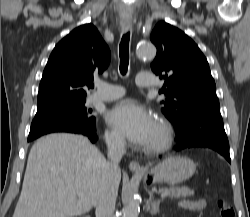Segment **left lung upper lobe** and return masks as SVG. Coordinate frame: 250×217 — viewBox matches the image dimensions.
Listing matches in <instances>:
<instances>
[{
	"label": "left lung upper lobe",
	"mask_w": 250,
	"mask_h": 217,
	"mask_svg": "<svg viewBox=\"0 0 250 217\" xmlns=\"http://www.w3.org/2000/svg\"><path fill=\"white\" fill-rule=\"evenodd\" d=\"M151 41L157 47L151 68L165 79L162 112L176 128L184 124L188 114L219 108L208 62L191 38L161 21L153 29Z\"/></svg>",
	"instance_id": "1"
}]
</instances>
